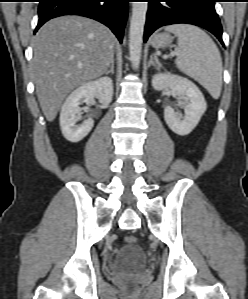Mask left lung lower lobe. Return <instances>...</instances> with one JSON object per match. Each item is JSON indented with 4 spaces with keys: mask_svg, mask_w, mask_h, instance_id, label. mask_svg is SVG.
<instances>
[{
    "mask_svg": "<svg viewBox=\"0 0 248 299\" xmlns=\"http://www.w3.org/2000/svg\"><path fill=\"white\" fill-rule=\"evenodd\" d=\"M217 0H147L149 2L144 42L158 28L171 24H193L214 34L222 45V26L215 11Z\"/></svg>",
    "mask_w": 248,
    "mask_h": 299,
    "instance_id": "left-lung-lower-lobe-1",
    "label": "left lung lower lobe"
}]
</instances>
